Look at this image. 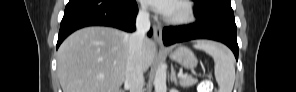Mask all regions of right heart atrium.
Instances as JSON below:
<instances>
[{
  "instance_id": "obj_1",
  "label": "right heart atrium",
  "mask_w": 296,
  "mask_h": 92,
  "mask_svg": "<svg viewBox=\"0 0 296 92\" xmlns=\"http://www.w3.org/2000/svg\"><path fill=\"white\" fill-rule=\"evenodd\" d=\"M141 13H142L143 15H147V12H146V10H145L144 8L141 10Z\"/></svg>"
}]
</instances>
